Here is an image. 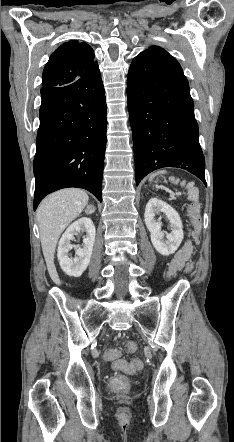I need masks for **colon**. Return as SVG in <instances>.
<instances>
[{
  "mask_svg": "<svg viewBox=\"0 0 234 442\" xmlns=\"http://www.w3.org/2000/svg\"><path fill=\"white\" fill-rule=\"evenodd\" d=\"M201 204L199 202H194L188 207V216L190 223L195 230L196 236H198L201 229V217H200ZM193 263L190 261L184 262L185 271L190 273L192 271ZM137 346L134 342H128L124 350L129 353L135 352ZM122 350L116 348L115 346L105 347L102 349L103 358L106 361L112 362V367L115 371L125 372L132 374L143 367L142 359L138 356L131 357L130 361L121 358ZM130 387L129 378L125 376H117L114 380L109 381L110 389H128Z\"/></svg>",
  "mask_w": 234,
  "mask_h": 442,
  "instance_id": "5ec220e1",
  "label": "colon"
}]
</instances>
